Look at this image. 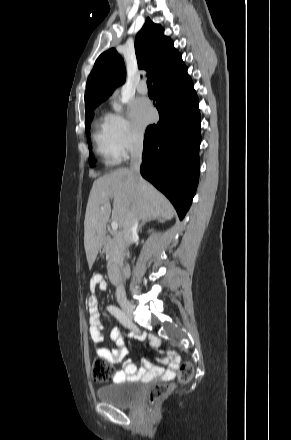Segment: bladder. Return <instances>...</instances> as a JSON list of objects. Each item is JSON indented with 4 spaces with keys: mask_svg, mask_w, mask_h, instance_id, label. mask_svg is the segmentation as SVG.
Returning <instances> with one entry per match:
<instances>
[{
    "mask_svg": "<svg viewBox=\"0 0 291 440\" xmlns=\"http://www.w3.org/2000/svg\"><path fill=\"white\" fill-rule=\"evenodd\" d=\"M141 393V382L129 379L116 381L96 390L98 400L120 408L132 406L140 398Z\"/></svg>",
    "mask_w": 291,
    "mask_h": 440,
    "instance_id": "bladder-1",
    "label": "bladder"
}]
</instances>
